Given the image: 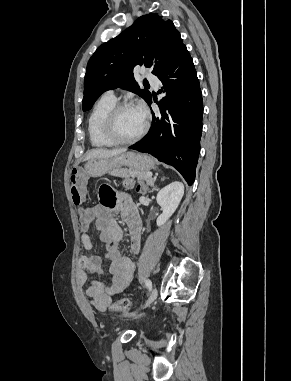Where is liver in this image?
<instances>
[{
	"mask_svg": "<svg viewBox=\"0 0 291 381\" xmlns=\"http://www.w3.org/2000/svg\"><path fill=\"white\" fill-rule=\"evenodd\" d=\"M126 149H93L87 153L84 160L98 159V158H110L122 153H125Z\"/></svg>",
	"mask_w": 291,
	"mask_h": 381,
	"instance_id": "6515ba94",
	"label": "liver"
}]
</instances>
